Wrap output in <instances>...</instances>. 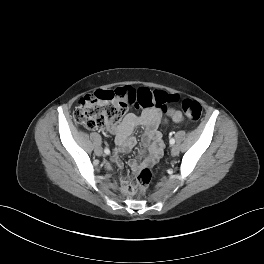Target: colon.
Returning <instances> with one entry per match:
<instances>
[{
    "mask_svg": "<svg viewBox=\"0 0 264 264\" xmlns=\"http://www.w3.org/2000/svg\"><path fill=\"white\" fill-rule=\"evenodd\" d=\"M178 97L162 90L146 87L123 86L114 90H99L83 97L73 112L74 121L83 127L94 130L117 124L129 106L166 111L168 106L177 102ZM181 108L186 116L196 121L200 118L202 107L193 99H184ZM152 180L148 168L141 169L135 176L131 192L143 195Z\"/></svg>",
    "mask_w": 264,
    "mask_h": 264,
    "instance_id": "1",
    "label": "colon"
}]
</instances>
